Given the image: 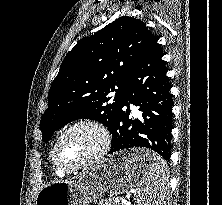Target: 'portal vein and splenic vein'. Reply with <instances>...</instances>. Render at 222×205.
<instances>
[{
    "label": "portal vein and splenic vein",
    "mask_w": 222,
    "mask_h": 205,
    "mask_svg": "<svg viewBox=\"0 0 222 205\" xmlns=\"http://www.w3.org/2000/svg\"><path fill=\"white\" fill-rule=\"evenodd\" d=\"M130 192H131V193H134V192H135V190H131ZM120 201H121L122 203H126V200H125V199H123V198H120Z\"/></svg>",
    "instance_id": "1"
}]
</instances>
